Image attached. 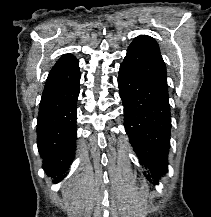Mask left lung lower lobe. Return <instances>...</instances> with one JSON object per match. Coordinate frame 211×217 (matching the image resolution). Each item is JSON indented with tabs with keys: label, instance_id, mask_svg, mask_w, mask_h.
Wrapping results in <instances>:
<instances>
[{
	"label": "left lung lower lobe",
	"instance_id": "0a47b994",
	"mask_svg": "<svg viewBox=\"0 0 211 217\" xmlns=\"http://www.w3.org/2000/svg\"><path fill=\"white\" fill-rule=\"evenodd\" d=\"M118 87L130 143L150 174L147 179L157 182L168 171L171 131L168 94L123 64L119 70Z\"/></svg>",
	"mask_w": 211,
	"mask_h": 217
}]
</instances>
